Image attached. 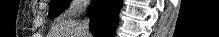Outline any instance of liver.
Returning <instances> with one entry per match:
<instances>
[{
  "label": "liver",
  "instance_id": "6515ba94",
  "mask_svg": "<svg viewBox=\"0 0 219 37\" xmlns=\"http://www.w3.org/2000/svg\"><path fill=\"white\" fill-rule=\"evenodd\" d=\"M79 27L80 23L76 21H58L51 37H81L78 33Z\"/></svg>",
  "mask_w": 219,
  "mask_h": 37
}]
</instances>
